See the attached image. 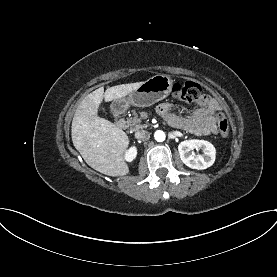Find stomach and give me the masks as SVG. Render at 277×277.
Segmentation results:
<instances>
[{"mask_svg":"<svg viewBox=\"0 0 277 277\" xmlns=\"http://www.w3.org/2000/svg\"><path fill=\"white\" fill-rule=\"evenodd\" d=\"M173 81L168 75L158 74L143 82L126 98L114 100L112 108L124 111L130 105L137 107L150 106L165 98L172 90Z\"/></svg>","mask_w":277,"mask_h":277,"instance_id":"0dacf381","label":"stomach"}]
</instances>
